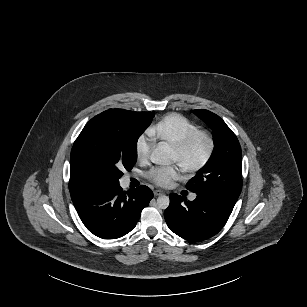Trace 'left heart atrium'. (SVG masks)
<instances>
[{
	"label": "left heart atrium",
	"instance_id": "left-heart-atrium-1",
	"mask_svg": "<svg viewBox=\"0 0 307 307\" xmlns=\"http://www.w3.org/2000/svg\"><path fill=\"white\" fill-rule=\"evenodd\" d=\"M184 168L180 164L153 165L147 172V179L159 186H169L173 180L182 178Z\"/></svg>",
	"mask_w": 307,
	"mask_h": 307
}]
</instances>
